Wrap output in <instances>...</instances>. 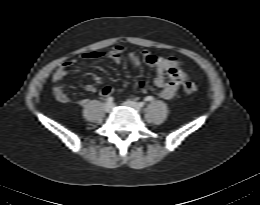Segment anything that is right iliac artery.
Returning a JSON list of instances; mask_svg holds the SVG:
<instances>
[{
  "label": "right iliac artery",
  "instance_id": "obj_1",
  "mask_svg": "<svg viewBox=\"0 0 260 205\" xmlns=\"http://www.w3.org/2000/svg\"><path fill=\"white\" fill-rule=\"evenodd\" d=\"M112 101H113V98H112V97L107 98V102H108V103H111Z\"/></svg>",
  "mask_w": 260,
  "mask_h": 205
}]
</instances>
